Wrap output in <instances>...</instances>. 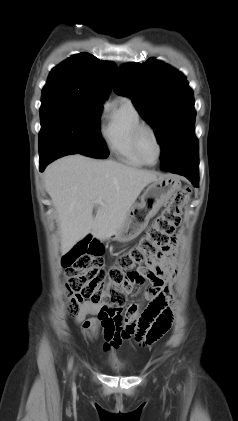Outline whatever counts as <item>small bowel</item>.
<instances>
[{"mask_svg": "<svg viewBox=\"0 0 238 421\" xmlns=\"http://www.w3.org/2000/svg\"><path fill=\"white\" fill-rule=\"evenodd\" d=\"M176 262L177 250L171 245L159 259L132 273L134 287L144 288L143 299L147 301V305L143 310L140 309L139 303H131L124 315L116 312L112 323L106 325L99 319H86L88 315L99 314L101 307L92 302H85L75 322L81 324L84 333L91 338L96 337L101 329L105 339V350L117 348L130 337L144 343L157 340L166 332L172 320V284L176 276ZM156 332L160 336L153 338L152 334Z\"/></svg>", "mask_w": 238, "mask_h": 421, "instance_id": "1", "label": "small bowel"}]
</instances>
